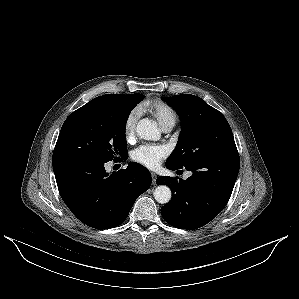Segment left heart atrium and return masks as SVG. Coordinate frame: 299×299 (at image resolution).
<instances>
[{
	"mask_svg": "<svg viewBox=\"0 0 299 299\" xmlns=\"http://www.w3.org/2000/svg\"><path fill=\"white\" fill-rule=\"evenodd\" d=\"M167 154L168 151L163 145H142L132 152L131 158L149 169H156Z\"/></svg>",
	"mask_w": 299,
	"mask_h": 299,
	"instance_id": "39dd6f15",
	"label": "left heart atrium"
}]
</instances>
